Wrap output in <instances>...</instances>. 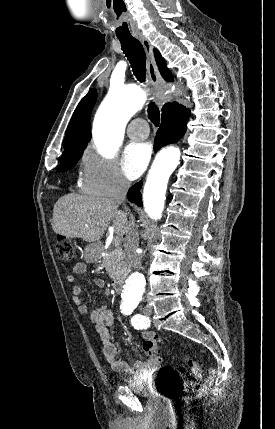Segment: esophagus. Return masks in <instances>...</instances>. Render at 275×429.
I'll use <instances>...</instances> for the list:
<instances>
[{"label": "esophagus", "mask_w": 275, "mask_h": 429, "mask_svg": "<svg viewBox=\"0 0 275 429\" xmlns=\"http://www.w3.org/2000/svg\"><path fill=\"white\" fill-rule=\"evenodd\" d=\"M136 38L141 42L144 48L146 54L148 76L154 87L156 99L159 105H162L167 100V92L163 88L162 78L153 55V47L146 37L138 35L136 36Z\"/></svg>", "instance_id": "esophagus-1"}]
</instances>
